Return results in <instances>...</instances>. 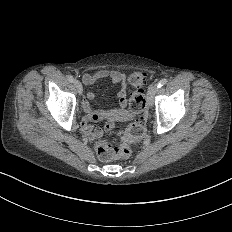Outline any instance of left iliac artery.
Instances as JSON below:
<instances>
[{
    "mask_svg": "<svg viewBox=\"0 0 232 232\" xmlns=\"http://www.w3.org/2000/svg\"><path fill=\"white\" fill-rule=\"evenodd\" d=\"M167 79H162L157 83V88H161L162 86H164L167 83Z\"/></svg>",
    "mask_w": 232,
    "mask_h": 232,
    "instance_id": "left-iliac-artery-1",
    "label": "left iliac artery"
}]
</instances>
